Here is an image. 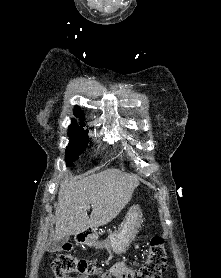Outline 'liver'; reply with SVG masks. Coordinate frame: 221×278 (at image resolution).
<instances>
[{
    "instance_id": "6515ba94",
    "label": "liver",
    "mask_w": 221,
    "mask_h": 278,
    "mask_svg": "<svg viewBox=\"0 0 221 278\" xmlns=\"http://www.w3.org/2000/svg\"><path fill=\"white\" fill-rule=\"evenodd\" d=\"M138 185L136 176L117 169H107L80 180H68L66 175L55 207L54 241L65 235H77L89 227L106 225L127 205Z\"/></svg>"
}]
</instances>
